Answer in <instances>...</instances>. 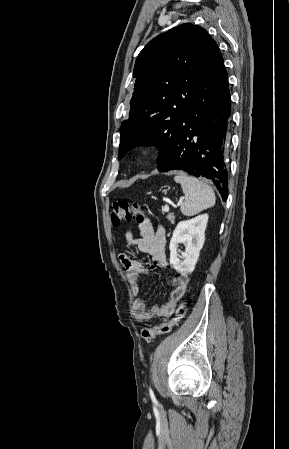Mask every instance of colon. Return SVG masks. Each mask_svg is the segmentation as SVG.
I'll use <instances>...</instances> for the list:
<instances>
[{
  "mask_svg": "<svg viewBox=\"0 0 289 449\" xmlns=\"http://www.w3.org/2000/svg\"><path fill=\"white\" fill-rule=\"evenodd\" d=\"M145 209L137 203H129L127 200H116L112 205L111 222L113 226H119L123 222L133 219L142 221L145 218ZM187 307V300H183L175 310L173 317L159 326L152 328H142L141 336L145 340H151L159 335L169 333L184 317Z\"/></svg>",
  "mask_w": 289,
  "mask_h": 449,
  "instance_id": "1",
  "label": "colon"
}]
</instances>
